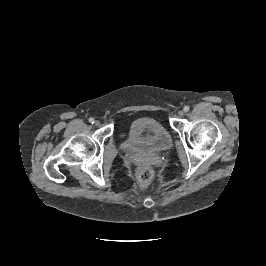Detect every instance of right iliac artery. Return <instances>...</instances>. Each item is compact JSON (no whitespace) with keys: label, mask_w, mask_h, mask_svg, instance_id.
I'll return each instance as SVG.
<instances>
[{"label":"right iliac artery","mask_w":266,"mask_h":266,"mask_svg":"<svg viewBox=\"0 0 266 266\" xmlns=\"http://www.w3.org/2000/svg\"><path fill=\"white\" fill-rule=\"evenodd\" d=\"M89 122L93 124L94 123V119L93 118H90L89 119Z\"/></svg>","instance_id":"82829eb1"}]
</instances>
